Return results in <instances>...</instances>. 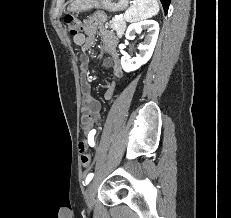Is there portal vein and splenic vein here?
I'll use <instances>...</instances> for the list:
<instances>
[{"instance_id":"1","label":"portal vein and splenic vein","mask_w":231,"mask_h":218,"mask_svg":"<svg viewBox=\"0 0 231 218\" xmlns=\"http://www.w3.org/2000/svg\"><path fill=\"white\" fill-rule=\"evenodd\" d=\"M122 16H115V19L119 20Z\"/></svg>"}]
</instances>
